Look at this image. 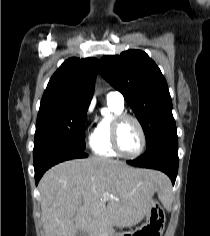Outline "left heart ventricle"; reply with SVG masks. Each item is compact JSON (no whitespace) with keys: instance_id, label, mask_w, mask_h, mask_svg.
Returning <instances> with one entry per match:
<instances>
[{"instance_id":"obj_1","label":"left heart ventricle","mask_w":210,"mask_h":236,"mask_svg":"<svg viewBox=\"0 0 210 236\" xmlns=\"http://www.w3.org/2000/svg\"><path fill=\"white\" fill-rule=\"evenodd\" d=\"M119 143L125 154L136 153L141 145V135L136 123L132 120H125L120 127Z\"/></svg>"}]
</instances>
